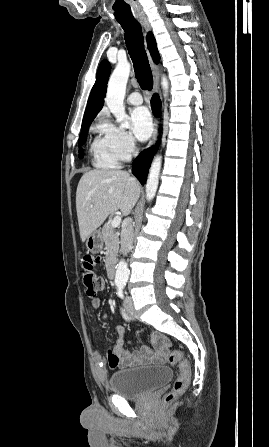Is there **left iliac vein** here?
<instances>
[{"label":"left iliac vein","mask_w":269,"mask_h":447,"mask_svg":"<svg viewBox=\"0 0 269 447\" xmlns=\"http://www.w3.org/2000/svg\"><path fill=\"white\" fill-rule=\"evenodd\" d=\"M125 309L130 316L135 317V313H134L135 310H134V306L132 303V299L130 297H127L125 299Z\"/></svg>","instance_id":"obj_1"}]
</instances>
